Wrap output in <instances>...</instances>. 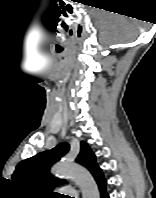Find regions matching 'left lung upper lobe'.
Segmentation results:
<instances>
[{"label":"left lung upper lobe","mask_w":156,"mask_h":198,"mask_svg":"<svg viewBox=\"0 0 156 198\" xmlns=\"http://www.w3.org/2000/svg\"><path fill=\"white\" fill-rule=\"evenodd\" d=\"M69 151V144L61 143L52 150H47L21 161L12 175V181L32 194L47 197L57 185L66 183L50 175V167ZM76 162L86 167L91 174L102 171L96 163V156L84 141Z\"/></svg>","instance_id":"1"}]
</instances>
